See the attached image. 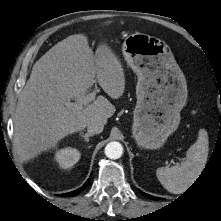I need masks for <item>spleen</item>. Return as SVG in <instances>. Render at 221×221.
I'll return each mask as SVG.
<instances>
[{
    "label": "spleen",
    "instance_id": "1",
    "mask_svg": "<svg viewBox=\"0 0 221 221\" xmlns=\"http://www.w3.org/2000/svg\"><path fill=\"white\" fill-rule=\"evenodd\" d=\"M208 134L200 129L198 139L186 152V160L172 167H161L156 175L162 186L170 193H183L198 178L207 163Z\"/></svg>",
    "mask_w": 221,
    "mask_h": 221
}]
</instances>
